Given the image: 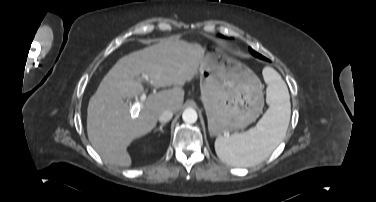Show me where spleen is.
<instances>
[{
	"label": "spleen",
	"mask_w": 376,
	"mask_h": 202,
	"mask_svg": "<svg viewBox=\"0 0 376 202\" xmlns=\"http://www.w3.org/2000/svg\"><path fill=\"white\" fill-rule=\"evenodd\" d=\"M263 76L267 83L266 101L269 109L257 125L245 133L215 140L217 156L229 165L250 167L266 160L284 139L288 129L291 105L286 84L271 68L265 67Z\"/></svg>",
	"instance_id": "obj_1"
}]
</instances>
